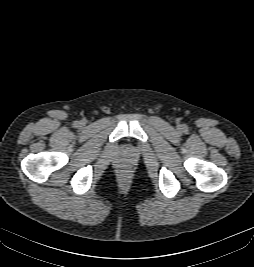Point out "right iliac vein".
I'll list each match as a JSON object with an SVG mask.
<instances>
[{
    "mask_svg": "<svg viewBox=\"0 0 254 267\" xmlns=\"http://www.w3.org/2000/svg\"><path fill=\"white\" fill-rule=\"evenodd\" d=\"M81 124H82V125H84L85 123H84V122H82Z\"/></svg>",
    "mask_w": 254,
    "mask_h": 267,
    "instance_id": "right-iliac-vein-1",
    "label": "right iliac vein"
}]
</instances>
